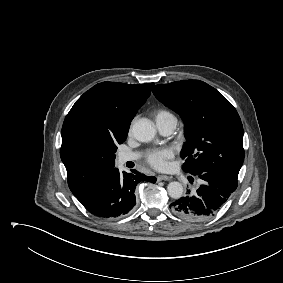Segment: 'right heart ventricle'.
I'll return each instance as SVG.
<instances>
[{
	"label": "right heart ventricle",
	"mask_w": 283,
	"mask_h": 283,
	"mask_svg": "<svg viewBox=\"0 0 283 283\" xmlns=\"http://www.w3.org/2000/svg\"><path fill=\"white\" fill-rule=\"evenodd\" d=\"M161 118H175V117L169 111L164 110V109H160V110L156 111L155 119L157 120V119H161Z\"/></svg>",
	"instance_id": "obj_1"
}]
</instances>
